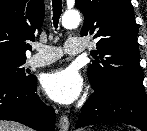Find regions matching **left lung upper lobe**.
Segmentation results:
<instances>
[{
  "label": "left lung upper lobe",
  "instance_id": "obj_1",
  "mask_svg": "<svg viewBox=\"0 0 147 131\" xmlns=\"http://www.w3.org/2000/svg\"><path fill=\"white\" fill-rule=\"evenodd\" d=\"M84 15L81 36L99 38L96 61L87 75L94 90L107 92L117 86L145 90L140 53L137 45L138 27L129 0H75Z\"/></svg>",
  "mask_w": 147,
  "mask_h": 131
}]
</instances>
